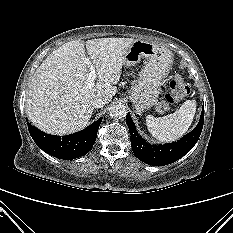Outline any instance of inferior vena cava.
Segmentation results:
<instances>
[{"label":"inferior vena cava","mask_w":233,"mask_h":233,"mask_svg":"<svg viewBox=\"0 0 233 233\" xmlns=\"http://www.w3.org/2000/svg\"><path fill=\"white\" fill-rule=\"evenodd\" d=\"M106 103L103 97H96L92 100V106L95 108H102Z\"/></svg>","instance_id":"1"}]
</instances>
